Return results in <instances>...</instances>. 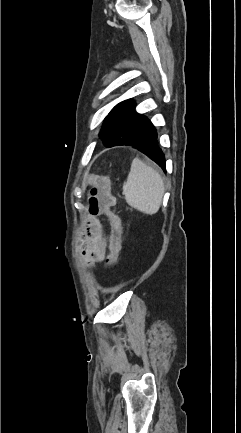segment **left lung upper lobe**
I'll return each instance as SVG.
<instances>
[{
	"mask_svg": "<svg viewBox=\"0 0 241 433\" xmlns=\"http://www.w3.org/2000/svg\"><path fill=\"white\" fill-rule=\"evenodd\" d=\"M152 127V123L144 115L136 113L135 102L129 99L115 106L106 117L100 138L106 147L125 145L143 136Z\"/></svg>",
	"mask_w": 241,
	"mask_h": 433,
	"instance_id": "left-lung-upper-lobe-1",
	"label": "left lung upper lobe"
}]
</instances>
